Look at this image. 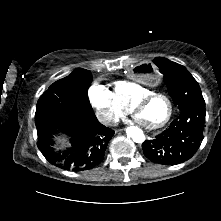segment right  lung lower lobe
Returning a JSON list of instances; mask_svg holds the SVG:
<instances>
[{
	"mask_svg": "<svg viewBox=\"0 0 221 221\" xmlns=\"http://www.w3.org/2000/svg\"><path fill=\"white\" fill-rule=\"evenodd\" d=\"M57 132L70 136L71 148L65 153L56 152L52 137ZM37 146L53 165L65 170H89L100 164L114 131L100 124L96 117L67 116L60 121L37 129Z\"/></svg>",
	"mask_w": 221,
	"mask_h": 221,
	"instance_id": "98d812e1",
	"label": "right lung lower lobe"
}]
</instances>
